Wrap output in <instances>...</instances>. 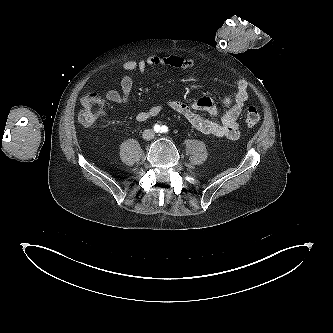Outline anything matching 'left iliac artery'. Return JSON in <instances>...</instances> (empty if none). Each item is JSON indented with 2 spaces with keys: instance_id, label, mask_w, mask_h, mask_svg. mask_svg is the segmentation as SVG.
I'll use <instances>...</instances> for the list:
<instances>
[{
  "instance_id": "1",
  "label": "left iliac artery",
  "mask_w": 333,
  "mask_h": 333,
  "mask_svg": "<svg viewBox=\"0 0 333 333\" xmlns=\"http://www.w3.org/2000/svg\"><path fill=\"white\" fill-rule=\"evenodd\" d=\"M161 130H162V132L166 133L168 131V127L164 125V126H162Z\"/></svg>"
}]
</instances>
